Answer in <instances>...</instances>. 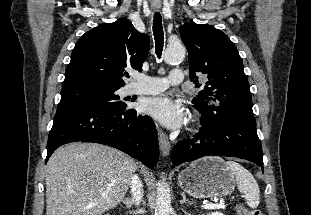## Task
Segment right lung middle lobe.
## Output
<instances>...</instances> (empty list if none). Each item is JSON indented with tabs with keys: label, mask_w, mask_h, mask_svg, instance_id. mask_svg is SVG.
<instances>
[{
	"label": "right lung middle lobe",
	"mask_w": 311,
	"mask_h": 215,
	"mask_svg": "<svg viewBox=\"0 0 311 215\" xmlns=\"http://www.w3.org/2000/svg\"><path fill=\"white\" fill-rule=\"evenodd\" d=\"M118 87L94 83H75L62 86L58 109L67 106H87L103 110L126 109L127 105L119 100Z\"/></svg>",
	"instance_id": "obj_1"
}]
</instances>
